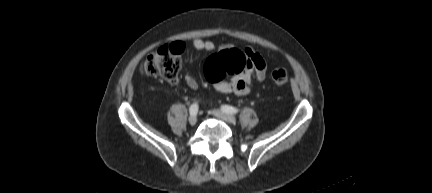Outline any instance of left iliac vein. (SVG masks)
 I'll return each mask as SVG.
<instances>
[{
  "instance_id": "4c4485c4",
  "label": "left iliac vein",
  "mask_w": 432,
  "mask_h": 193,
  "mask_svg": "<svg viewBox=\"0 0 432 193\" xmlns=\"http://www.w3.org/2000/svg\"><path fill=\"white\" fill-rule=\"evenodd\" d=\"M212 114L215 117H217L219 119H222V120H224L226 122H230V123L236 122V117L235 116H233L231 114H228V113H225V112H223L221 110H213Z\"/></svg>"
}]
</instances>
